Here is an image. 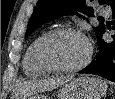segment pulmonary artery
<instances>
[{"label":"pulmonary artery","mask_w":115,"mask_h":99,"mask_svg":"<svg viewBox=\"0 0 115 99\" xmlns=\"http://www.w3.org/2000/svg\"><path fill=\"white\" fill-rule=\"evenodd\" d=\"M100 12L104 15H110L111 14V10L109 8H102L100 10Z\"/></svg>","instance_id":"e3ab8cb5"}]
</instances>
